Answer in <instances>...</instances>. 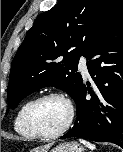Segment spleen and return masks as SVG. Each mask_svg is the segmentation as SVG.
Wrapping results in <instances>:
<instances>
[{
	"mask_svg": "<svg viewBox=\"0 0 123 152\" xmlns=\"http://www.w3.org/2000/svg\"><path fill=\"white\" fill-rule=\"evenodd\" d=\"M79 141L91 150H94L96 148V146L94 144L90 143L89 141H86L83 139H80Z\"/></svg>",
	"mask_w": 123,
	"mask_h": 152,
	"instance_id": "1",
	"label": "spleen"
}]
</instances>
